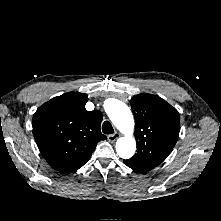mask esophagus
I'll return each instance as SVG.
<instances>
[{"label": "esophagus", "instance_id": "obj_1", "mask_svg": "<svg viewBox=\"0 0 221 221\" xmlns=\"http://www.w3.org/2000/svg\"><path fill=\"white\" fill-rule=\"evenodd\" d=\"M120 137L119 133L108 135L107 139L110 143H114Z\"/></svg>", "mask_w": 221, "mask_h": 221}]
</instances>
